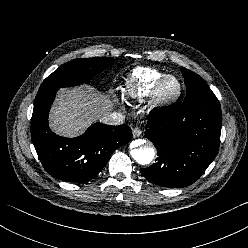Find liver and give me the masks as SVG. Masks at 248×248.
Segmentation results:
<instances>
[{
  "label": "liver",
  "mask_w": 248,
  "mask_h": 248,
  "mask_svg": "<svg viewBox=\"0 0 248 248\" xmlns=\"http://www.w3.org/2000/svg\"><path fill=\"white\" fill-rule=\"evenodd\" d=\"M111 110L109 100L90 86L60 89L50 113L51 129L63 136L82 133L91 121Z\"/></svg>",
  "instance_id": "obj_1"
}]
</instances>
